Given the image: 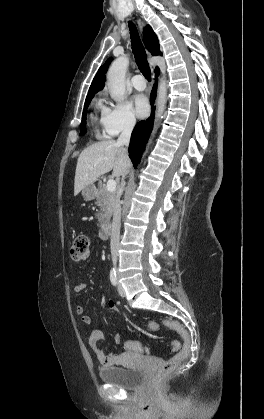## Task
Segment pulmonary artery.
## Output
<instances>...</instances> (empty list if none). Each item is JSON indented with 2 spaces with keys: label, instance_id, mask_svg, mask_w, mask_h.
Segmentation results:
<instances>
[{
  "label": "pulmonary artery",
  "instance_id": "1",
  "mask_svg": "<svg viewBox=\"0 0 264 419\" xmlns=\"http://www.w3.org/2000/svg\"><path fill=\"white\" fill-rule=\"evenodd\" d=\"M131 82L134 88L137 90L142 91L146 88L145 78L140 74L133 76Z\"/></svg>",
  "mask_w": 264,
  "mask_h": 419
}]
</instances>
